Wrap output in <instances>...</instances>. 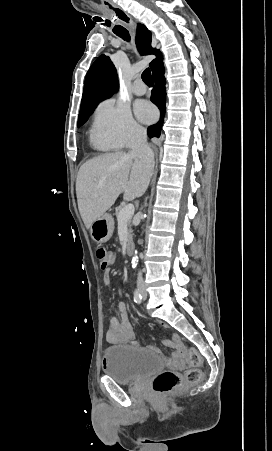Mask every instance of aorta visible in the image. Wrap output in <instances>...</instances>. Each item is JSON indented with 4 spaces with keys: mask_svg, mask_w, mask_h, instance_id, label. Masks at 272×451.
Here are the masks:
<instances>
[{
    "mask_svg": "<svg viewBox=\"0 0 272 451\" xmlns=\"http://www.w3.org/2000/svg\"><path fill=\"white\" fill-rule=\"evenodd\" d=\"M137 253H138V251H137V249H135L134 255H133L132 261H131L132 267H137V263H138V259H139Z\"/></svg>",
    "mask_w": 272,
    "mask_h": 451,
    "instance_id": "762f6f07",
    "label": "aorta"
}]
</instances>
